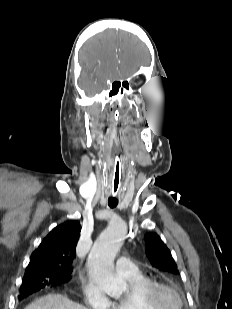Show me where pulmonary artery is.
<instances>
[{"label":"pulmonary artery","instance_id":"1","mask_svg":"<svg viewBox=\"0 0 232 309\" xmlns=\"http://www.w3.org/2000/svg\"><path fill=\"white\" fill-rule=\"evenodd\" d=\"M118 272L124 277H130L138 274L139 268L127 257H119L116 261Z\"/></svg>","mask_w":232,"mask_h":309}]
</instances>
